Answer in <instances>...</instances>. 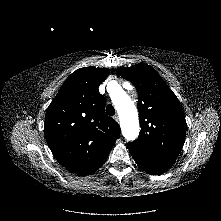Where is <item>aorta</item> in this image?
<instances>
[{
  "mask_svg": "<svg viewBox=\"0 0 221 221\" xmlns=\"http://www.w3.org/2000/svg\"><path fill=\"white\" fill-rule=\"evenodd\" d=\"M111 99L119 115L123 136L128 141L135 140L140 131L136 106L120 87L111 92Z\"/></svg>",
  "mask_w": 221,
  "mask_h": 221,
  "instance_id": "obj_1",
  "label": "aorta"
}]
</instances>
